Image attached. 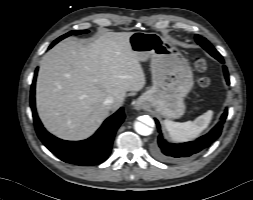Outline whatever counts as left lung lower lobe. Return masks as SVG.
<instances>
[{
  "label": "left lung lower lobe",
  "instance_id": "0a47b994",
  "mask_svg": "<svg viewBox=\"0 0 253 200\" xmlns=\"http://www.w3.org/2000/svg\"><path fill=\"white\" fill-rule=\"evenodd\" d=\"M220 62L224 63L223 60ZM223 70L226 82L229 84L230 81L227 67L223 66ZM226 116L227 110L223 113L220 122L208 134L201 136L194 141L181 144L167 143L161 135L160 124L156 120L160 135L158 137L157 146L154 148L155 156L161 160L170 162H180L195 156L197 153L209 147L210 144L220 136Z\"/></svg>",
  "mask_w": 253,
  "mask_h": 200
}]
</instances>
